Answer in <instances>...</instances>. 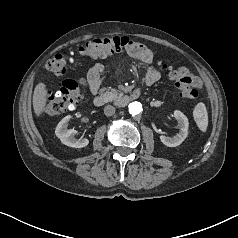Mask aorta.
I'll return each instance as SVG.
<instances>
[{
  "instance_id": "obj_1",
  "label": "aorta",
  "mask_w": 238,
  "mask_h": 238,
  "mask_svg": "<svg viewBox=\"0 0 238 238\" xmlns=\"http://www.w3.org/2000/svg\"><path fill=\"white\" fill-rule=\"evenodd\" d=\"M128 110L129 113L134 117L139 115L140 113H142L143 108H142V104L140 102H132L128 105Z\"/></svg>"
}]
</instances>
